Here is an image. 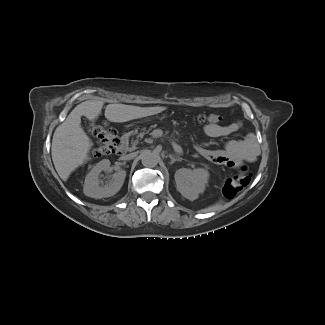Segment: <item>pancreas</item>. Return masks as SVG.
<instances>
[{
    "label": "pancreas",
    "instance_id": "1",
    "mask_svg": "<svg viewBox=\"0 0 325 325\" xmlns=\"http://www.w3.org/2000/svg\"><path fill=\"white\" fill-rule=\"evenodd\" d=\"M150 131H151V130H150V128H148V127L145 128V129H144V128L141 129L139 135H137V137H136V136L133 137V139H132V140H133V141H132L133 144H134L135 146H139V144H140L139 141L142 140V138H144L145 136H147V134L150 133ZM138 140H139V141H138Z\"/></svg>",
    "mask_w": 325,
    "mask_h": 325
}]
</instances>
